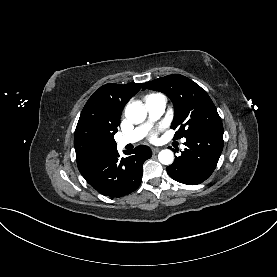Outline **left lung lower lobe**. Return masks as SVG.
<instances>
[{"mask_svg":"<svg viewBox=\"0 0 277 277\" xmlns=\"http://www.w3.org/2000/svg\"><path fill=\"white\" fill-rule=\"evenodd\" d=\"M187 147L168 166L169 176L183 184L197 185L214 171L223 149V128L203 131L186 138Z\"/></svg>","mask_w":277,"mask_h":277,"instance_id":"0a47b994","label":"left lung lower lobe"}]
</instances>
